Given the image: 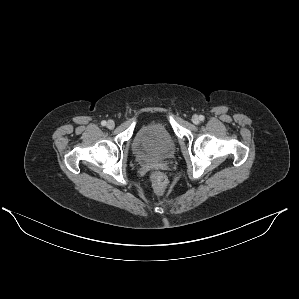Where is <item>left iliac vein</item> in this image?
Returning <instances> with one entry per match:
<instances>
[{
    "label": "left iliac vein",
    "instance_id": "obj_1",
    "mask_svg": "<svg viewBox=\"0 0 299 299\" xmlns=\"http://www.w3.org/2000/svg\"><path fill=\"white\" fill-rule=\"evenodd\" d=\"M192 122H193L194 124H198V123L200 122L199 117H198L197 115H194V116L192 117Z\"/></svg>",
    "mask_w": 299,
    "mask_h": 299
}]
</instances>
